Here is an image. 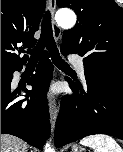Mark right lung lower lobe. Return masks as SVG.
I'll return each mask as SVG.
<instances>
[{
	"instance_id": "obj_1",
	"label": "right lung lower lobe",
	"mask_w": 123,
	"mask_h": 152,
	"mask_svg": "<svg viewBox=\"0 0 123 152\" xmlns=\"http://www.w3.org/2000/svg\"><path fill=\"white\" fill-rule=\"evenodd\" d=\"M14 69H1V133L17 136L30 145L42 149L50 134L49 111L45 92L52 77L53 65L43 52L36 74L28 84L32 90L23 89L26 99H17L21 90H11ZM36 98V99H35Z\"/></svg>"
}]
</instances>
